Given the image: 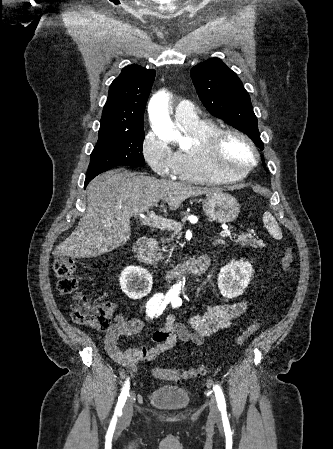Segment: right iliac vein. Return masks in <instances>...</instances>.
<instances>
[{"mask_svg": "<svg viewBox=\"0 0 333 449\" xmlns=\"http://www.w3.org/2000/svg\"><path fill=\"white\" fill-rule=\"evenodd\" d=\"M133 395H131L124 405L122 415L120 417L119 424L121 426H126L130 423L133 415Z\"/></svg>", "mask_w": 333, "mask_h": 449, "instance_id": "63e3f726", "label": "right iliac vein"}]
</instances>
